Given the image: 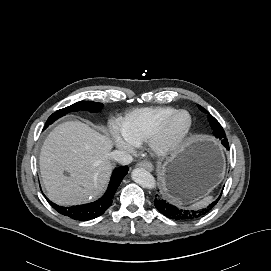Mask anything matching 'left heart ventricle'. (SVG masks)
<instances>
[{
	"label": "left heart ventricle",
	"instance_id": "1",
	"mask_svg": "<svg viewBox=\"0 0 271 271\" xmlns=\"http://www.w3.org/2000/svg\"><path fill=\"white\" fill-rule=\"evenodd\" d=\"M188 125V117L185 114L180 115L173 124L172 135L177 136L185 131Z\"/></svg>",
	"mask_w": 271,
	"mask_h": 271
}]
</instances>
